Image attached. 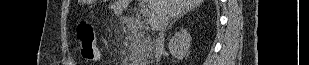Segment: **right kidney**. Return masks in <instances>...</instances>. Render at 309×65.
<instances>
[{
  "label": "right kidney",
  "instance_id": "obj_1",
  "mask_svg": "<svg viewBox=\"0 0 309 65\" xmlns=\"http://www.w3.org/2000/svg\"><path fill=\"white\" fill-rule=\"evenodd\" d=\"M191 46V36L186 29H180L170 39L168 44L169 51L173 57L183 60L188 55Z\"/></svg>",
  "mask_w": 309,
  "mask_h": 65
}]
</instances>
